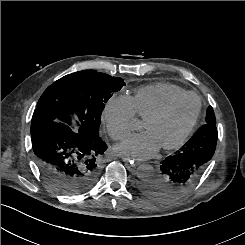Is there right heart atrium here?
Listing matches in <instances>:
<instances>
[{
    "mask_svg": "<svg viewBox=\"0 0 245 245\" xmlns=\"http://www.w3.org/2000/svg\"><path fill=\"white\" fill-rule=\"evenodd\" d=\"M135 117L134 102L126 95H112L102 109V121L114 139H122L130 133Z\"/></svg>",
    "mask_w": 245,
    "mask_h": 245,
    "instance_id": "obj_1",
    "label": "right heart atrium"
}]
</instances>
